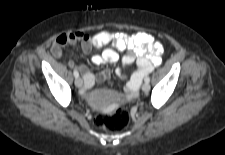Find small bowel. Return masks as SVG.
I'll return each mask as SVG.
<instances>
[{
    "mask_svg": "<svg viewBox=\"0 0 225 155\" xmlns=\"http://www.w3.org/2000/svg\"><path fill=\"white\" fill-rule=\"evenodd\" d=\"M78 41L82 42L84 51H88L91 48L100 49L108 43H112L116 50L124 51L125 53L121 58L122 69L118 70L120 77H125L123 68L131 65L135 61L137 63L138 70L128 80L126 90L121 96V99L108 104L107 109L110 112L120 110L125 107V101L136 97L142 77L161 63V55L163 52L161 43L156 41L151 34L145 32L125 33L101 31L95 35H88L77 31L62 34L53 43L51 51L55 57L60 58L63 56L62 48L65 45H73ZM115 49L108 48L103 50L100 54L92 56L91 62L94 65H101L119 61L120 56ZM70 65L75 66L82 73L84 80L83 94L85 95L97 80H107L110 75L108 70H103L98 75H95L85 65H76L73 62H70ZM94 100L97 103H108L112 100V96L107 94L102 98H94Z\"/></svg>",
    "mask_w": 225,
    "mask_h": 155,
    "instance_id": "c3829d8e",
    "label": "small bowel"
}]
</instances>
